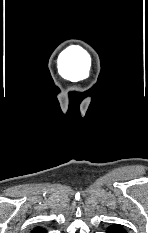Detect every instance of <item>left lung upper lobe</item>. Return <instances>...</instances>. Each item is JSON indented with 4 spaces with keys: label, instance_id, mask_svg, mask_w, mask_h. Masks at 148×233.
Segmentation results:
<instances>
[{
    "label": "left lung upper lobe",
    "instance_id": "obj_1",
    "mask_svg": "<svg viewBox=\"0 0 148 233\" xmlns=\"http://www.w3.org/2000/svg\"><path fill=\"white\" fill-rule=\"evenodd\" d=\"M110 227L117 228V229H119V230H121V231H124V232L126 233V231H125L120 225H112V226H110Z\"/></svg>",
    "mask_w": 148,
    "mask_h": 233
}]
</instances>
